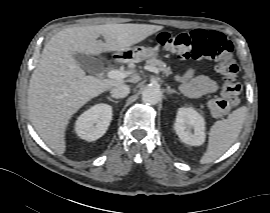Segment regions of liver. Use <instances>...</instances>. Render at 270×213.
<instances>
[{"instance_id":"6515ba94","label":"liver","mask_w":270,"mask_h":213,"mask_svg":"<svg viewBox=\"0 0 270 213\" xmlns=\"http://www.w3.org/2000/svg\"><path fill=\"white\" fill-rule=\"evenodd\" d=\"M162 29L149 24H105L70 27L52 36L28 88L29 117L41 139L57 154H63L65 130L72 115L91 99L125 82L86 75L73 54L120 55ZM100 36L105 42L98 40Z\"/></svg>"}]
</instances>
